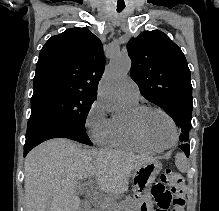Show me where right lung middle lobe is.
I'll list each match as a JSON object with an SVG mask.
<instances>
[{
	"instance_id": "obj_1",
	"label": "right lung middle lobe",
	"mask_w": 219,
	"mask_h": 211,
	"mask_svg": "<svg viewBox=\"0 0 219 211\" xmlns=\"http://www.w3.org/2000/svg\"><path fill=\"white\" fill-rule=\"evenodd\" d=\"M95 96L59 86L34 92L31 98V116L48 115L85 130L86 117Z\"/></svg>"
}]
</instances>
